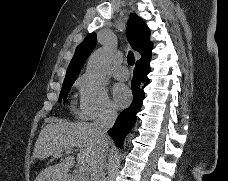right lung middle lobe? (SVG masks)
Wrapping results in <instances>:
<instances>
[{"instance_id":"obj_1","label":"right lung middle lobe","mask_w":228,"mask_h":181,"mask_svg":"<svg viewBox=\"0 0 228 181\" xmlns=\"http://www.w3.org/2000/svg\"><path fill=\"white\" fill-rule=\"evenodd\" d=\"M75 80H71V81H65L63 83V86H62V90L60 92V100L64 97L66 98L67 97V94L71 88V86L73 85Z\"/></svg>"}]
</instances>
